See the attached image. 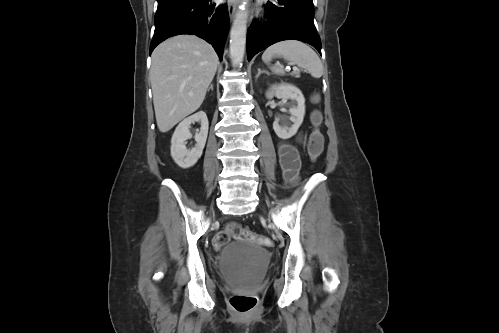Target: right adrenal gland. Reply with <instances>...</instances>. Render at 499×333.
I'll return each mask as SVG.
<instances>
[{"label":"right adrenal gland","instance_id":"1","mask_svg":"<svg viewBox=\"0 0 499 333\" xmlns=\"http://www.w3.org/2000/svg\"><path fill=\"white\" fill-rule=\"evenodd\" d=\"M210 89L213 91V84L210 85V87L207 89V91H209Z\"/></svg>","mask_w":499,"mask_h":333}]
</instances>
